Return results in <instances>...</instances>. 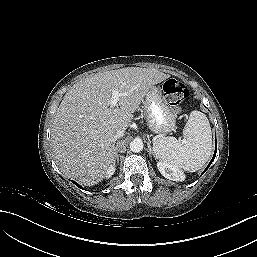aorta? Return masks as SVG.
<instances>
[{"label":"aorta","instance_id":"aorta-1","mask_svg":"<svg viewBox=\"0 0 257 257\" xmlns=\"http://www.w3.org/2000/svg\"><path fill=\"white\" fill-rule=\"evenodd\" d=\"M143 147H144L143 142L139 138H135L130 142V150L132 152L138 153L143 150Z\"/></svg>","mask_w":257,"mask_h":257}]
</instances>
